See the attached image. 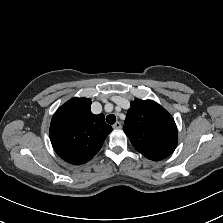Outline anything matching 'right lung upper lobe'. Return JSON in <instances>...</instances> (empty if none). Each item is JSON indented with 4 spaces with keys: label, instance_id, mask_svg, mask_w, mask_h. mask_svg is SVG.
<instances>
[{
    "label": "right lung upper lobe",
    "instance_id": "cb5924a9",
    "mask_svg": "<svg viewBox=\"0 0 223 223\" xmlns=\"http://www.w3.org/2000/svg\"><path fill=\"white\" fill-rule=\"evenodd\" d=\"M91 100L73 98L54 114L50 124V140L55 152L68 163L83 164L102 147L112 127L104 115H94Z\"/></svg>",
    "mask_w": 223,
    "mask_h": 223
}]
</instances>
